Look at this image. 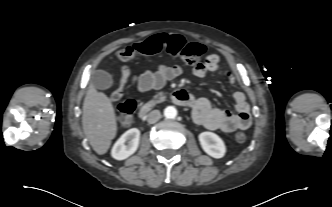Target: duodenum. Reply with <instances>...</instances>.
Instances as JSON below:
<instances>
[{"label":"duodenum","instance_id":"duodenum-1","mask_svg":"<svg viewBox=\"0 0 332 207\" xmlns=\"http://www.w3.org/2000/svg\"><path fill=\"white\" fill-rule=\"evenodd\" d=\"M165 101H171L179 106L191 107L194 104V97L191 93L183 89L156 96L141 107L138 112L139 119H144L156 105Z\"/></svg>","mask_w":332,"mask_h":207}]
</instances>
